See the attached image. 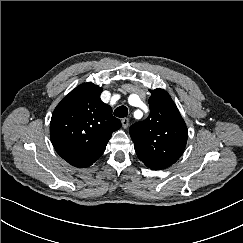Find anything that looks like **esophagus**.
<instances>
[{
	"instance_id": "esophagus-1",
	"label": "esophagus",
	"mask_w": 243,
	"mask_h": 243,
	"mask_svg": "<svg viewBox=\"0 0 243 243\" xmlns=\"http://www.w3.org/2000/svg\"><path fill=\"white\" fill-rule=\"evenodd\" d=\"M123 128H127L129 126V119L128 118H123L121 120Z\"/></svg>"
}]
</instances>
